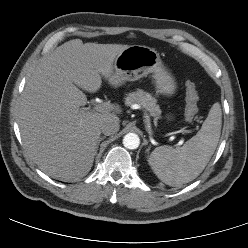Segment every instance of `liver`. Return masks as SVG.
<instances>
[{
  "label": "liver",
  "mask_w": 248,
  "mask_h": 248,
  "mask_svg": "<svg viewBox=\"0 0 248 248\" xmlns=\"http://www.w3.org/2000/svg\"><path fill=\"white\" fill-rule=\"evenodd\" d=\"M128 45L85 43L74 39L45 57L26 82L18 124L28 156L39 169L64 181L80 179L93 165L101 124L119 122L121 112L98 113L83 108L102 77L116 84L115 59ZM79 87V88H78Z\"/></svg>",
  "instance_id": "6515ba94"
}]
</instances>
